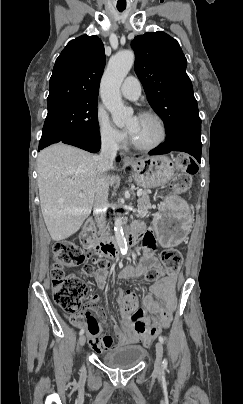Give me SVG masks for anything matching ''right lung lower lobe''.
I'll return each instance as SVG.
<instances>
[{
	"label": "right lung lower lobe",
	"instance_id": "obj_1",
	"mask_svg": "<svg viewBox=\"0 0 243 404\" xmlns=\"http://www.w3.org/2000/svg\"><path fill=\"white\" fill-rule=\"evenodd\" d=\"M60 141L92 153L99 151L101 147L100 137L86 136L82 134H69L64 136Z\"/></svg>",
	"mask_w": 243,
	"mask_h": 404
}]
</instances>
